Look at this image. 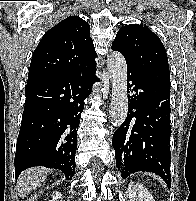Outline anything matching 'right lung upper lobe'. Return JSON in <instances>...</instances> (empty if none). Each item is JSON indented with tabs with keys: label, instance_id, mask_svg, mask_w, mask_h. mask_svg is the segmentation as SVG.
Returning <instances> with one entry per match:
<instances>
[{
	"label": "right lung upper lobe",
	"instance_id": "cb5924a9",
	"mask_svg": "<svg viewBox=\"0 0 196 201\" xmlns=\"http://www.w3.org/2000/svg\"><path fill=\"white\" fill-rule=\"evenodd\" d=\"M97 57L89 24L70 16L48 30L35 49L27 85L75 74Z\"/></svg>",
	"mask_w": 196,
	"mask_h": 201
}]
</instances>
